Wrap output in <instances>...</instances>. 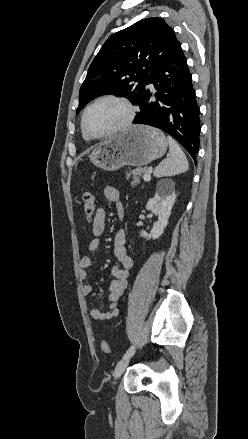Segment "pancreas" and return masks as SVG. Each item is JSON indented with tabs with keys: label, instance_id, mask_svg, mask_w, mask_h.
Returning <instances> with one entry per match:
<instances>
[{
	"label": "pancreas",
	"instance_id": "obj_1",
	"mask_svg": "<svg viewBox=\"0 0 248 439\" xmlns=\"http://www.w3.org/2000/svg\"><path fill=\"white\" fill-rule=\"evenodd\" d=\"M145 173H147L146 168H136L133 170H128L126 172V175H127V178H129V177L132 178L131 186L135 187V186H137V184L140 183V176L142 174H145Z\"/></svg>",
	"mask_w": 248,
	"mask_h": 439
}]
</instances>
